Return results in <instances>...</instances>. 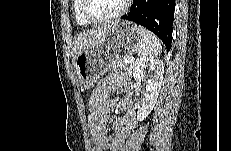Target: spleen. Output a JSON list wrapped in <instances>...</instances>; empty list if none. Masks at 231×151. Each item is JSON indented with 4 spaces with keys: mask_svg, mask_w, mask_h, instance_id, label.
Masks as SVG:
<instances>
[{
    "mask_svg": "<svg viewBox=\"0 0 231 151\" xmlns=\"http://www.w3.org/2000/svg\"><path fill=\"white\" fill-rule=\"evenodd\" d=\"M141 37V45L138 54L144 58H154L161 54L162 46L160 40L149 30L142 26H138Z\"/></svg>",
    "mask_w": 231,
    "mask_h": 151,
    "instance_id": "spleen-1",
    "label": "spleen"
}]
</instances>
